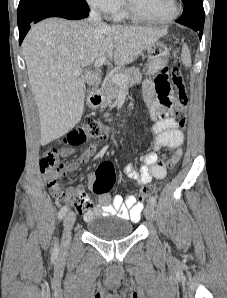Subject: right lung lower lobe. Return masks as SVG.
<instances>
[{"label":"right lung lower lobe","mask_w":227,"mask_h":298,"mask_svg":"<svg viewBox=\"0 0 227 298\" xmlns=\"http://www.w3.org/2000/svg\"><path fill=\"white\" fill-rule=\"evenodd\" d=\"M88 11L89 10L78 9L63 4H46L39 6L18 17L19 43H22L33 23L48 17H62L71 20L82 19L88 16Z\"/></svg>","instance_id":"98d812e1"}]
</instances>
